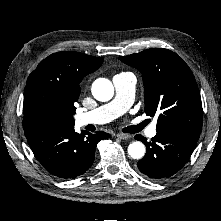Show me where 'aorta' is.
I'll return each instance as SVG.
<instances>
[{
  "label": "aorta",
  "instance_id": "aorta-1",
  "mask_svg": "<svg viewBox=\"0 0 221 221\" xmlns=\"http://www.w3.org/2000/svg\"><path fill=\"white\" fill-rule=\"evenodd\" d=\"M92 95L101 102L109 101L114 95V87L111 81L106 78H98L92 84ZM145 146L142 142L136 141L128 146V154L133 159H141L145 155Z\"/></svg>",
  "mask_w": 221,
  "mask_h": 221
}]
</instances>
